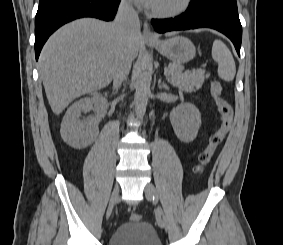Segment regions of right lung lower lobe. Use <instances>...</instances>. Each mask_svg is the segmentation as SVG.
I'll use <instances>...</instances> for the list:
<instances>
[{"instance_id":"98d812e1","label":"right lung lower lobe","mask_w":283,"mask_h":245,"mask_svg":"<svg viewBox=\"0 0 283 245\" xmlns=\"http://www.w3.org/2000/svg\"><path fill=\"white\" fill-rule=\"evenodd\" d=\"M121 0H40L35 18V56L63 24L81 17L112 20Z\"/></svg>"}]
</instances>
